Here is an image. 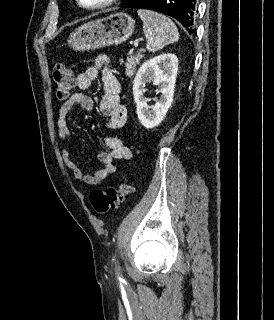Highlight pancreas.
I'll return each instance as SVG.
<instances>
[{"mask_svg": "<svg viewBox=\"0 0 274 320\" xmlns=\"http://www.w3.org/2000/svg\"><path fill=\"white\" fill-rule=\"evenodd\" d=\"M142 58H144L143 52H138V54H128L125 62V72L128 78H132L133 74H135L136 66Z\"/></svg>", "mask_w": 274, "mask_h": 320, "instance_id": "cf45deb5", "label": "pancreas"}]
</instances>
